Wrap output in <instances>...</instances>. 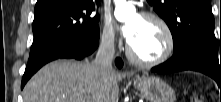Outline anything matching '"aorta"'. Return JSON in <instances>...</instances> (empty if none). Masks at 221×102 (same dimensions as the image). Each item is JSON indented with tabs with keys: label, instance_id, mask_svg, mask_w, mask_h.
Returning a JSON list of instances; mask_svg holds the SVG:
<instances>
[{
	"label": "aorta",
	"instance_id": "aorta-1",
	"mask_svg": "<svg viewBox=\"0 0 221 102\" xmlns=\"http://www.w3.org/2000/svg\"><path fill=\"white\" fill-rule=\"evenodd\" d=\"M114 3V15L118 21H126L135 12V7L130 0H114Z\"/></svg>",
	"mask_w": 221,
	"mask_h": 102
}]
</instances>
